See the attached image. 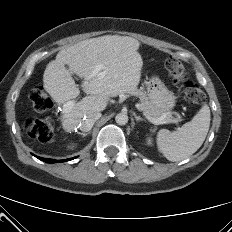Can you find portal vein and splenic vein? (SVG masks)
I'll return each instance as SVG.
<instances>
[{
	"label": "portal vein and splenic vein",
	"mask_w": 232,
	"mask_h": 232,
	"mask_svg": "<svg viewBox=\"0 0 232 232\" xmlns=\"http://www.w3.org/2000/svg\"><path fill=\"white\" fill-rule=\"evenodd\" d=\"M97 73V71L93 72V75H95ZM92 75V76H93ZM75 105V101H68L63 105V111L64 112H68L69 110H71L73 108V106ZM144 116L146 117V119L155 124V125H159V124H166V123H178V121L176 119H166L165 116L160 117V118H152L149 115H147L146 113H144Z\"/></svg>",
	"instance_id": "obj_1"
}]
</instances>
